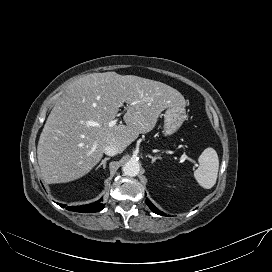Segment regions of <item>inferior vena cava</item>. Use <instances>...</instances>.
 Listing matches in <instances>:
<instances>
[{
    "mask_svg": "<svg viewBox=\"0 0 272 272\" xmlns=\"http://www.w3.org/2000/svg\"><path fill=\"white\" fill-rule=\"evenodd\" d=\"M104 153L108 156H115L119 153V149L116 145L110 144L105 147Z\"/></svg>",
    "mask_w": 272,
    "mask_h": 272,
    "instance_id": "1",
    "label": "inferior vena cava"
}]
</instances>
